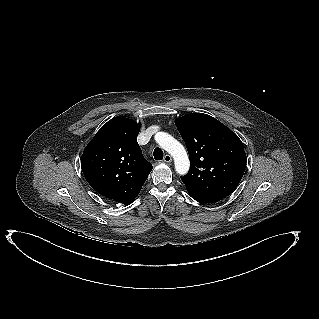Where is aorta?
Here are the masks:
<instances>
[{"label":"aorta","instance_id":"obj_1","mask_svg":"<svg viewBox=\"0 0 319 319\" xmlns=\"http://www.w3.org/2000/svg\"><path fill=\"white\" fill-rule=\"evenodd\" d=\"M156 142L173 157L176 172L180 175L187 174L190 162L184 146L165 132L156 134Z\"/></svg>","mask_w":319,"mask_h":319}]
</instances>
